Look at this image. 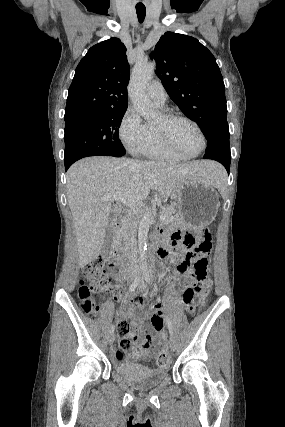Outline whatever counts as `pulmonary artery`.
<instances>
[{
    "mask_svg": "<svg viewBox=\"0 0 285 427\" xmlns=\"http://www.w3.org/2000/svg\"><path fill=\"white\" fill-rule=\"evenodd\" d=\"M148 95L152 101L159 106H164L167 101V93L158 80L152 81L147 88Z\"/></svg>",
    "mask_w": 285,
    "mask_h": 427,
    "instance_id": "obj_1",
    "label": "pulmonary artery"
}]
</instances>
